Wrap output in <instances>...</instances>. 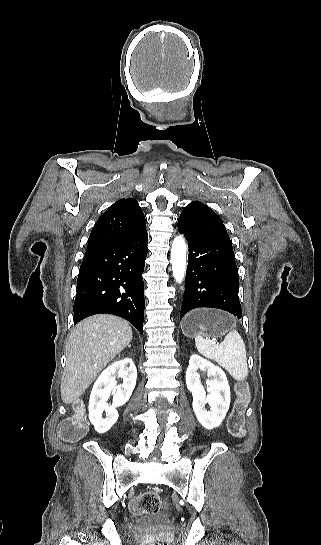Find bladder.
Listing matches in <instances>:
<instances>
[{
	"instance_id": "1",
	"label": "bladder",
	"mask_w": 321,
	"mask_h": 545,
	"mask_svg": "<svg viewBox=\"0 0 321 545\" xmlns=\"http://www.w3.org/2000/svg\"><path fill=\"white\" fill-rule=\"evenodd\" d=\"M166 523V520L161 517L154 514H146L137 523V527L139 529L143 528H151L156 527L159 525H164Z\"/></svg>"
}]
</instances>
